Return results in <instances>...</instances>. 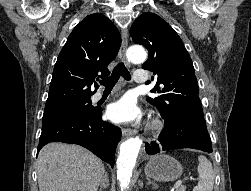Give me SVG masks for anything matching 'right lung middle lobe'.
<instances>
[{
  "label": "right lung middle lobe",
  "instance_id": "obj_1",
  "mask_svg": "<svg viewBox=\"0 0 251 191\" xmlns=\"http://www.w3.org/2000/svg\"><path fill=\"white\" fill-rule=\"evenodd\" d=\"M98 109L93 107L91 104V100H83L79 102L69 103L49 109H45L42 124H45L54 119H58L68 115L74 114H93L97 112Z\"/></svg>",
  "mask_w": 251,
  "mask_h": 191
}]
</instances>
